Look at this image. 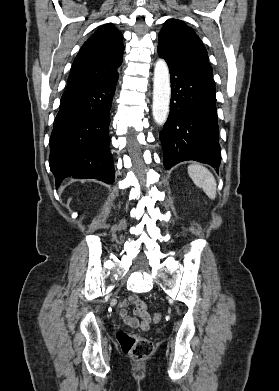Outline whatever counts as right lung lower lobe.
Masks as SVG:
<instances>
[{
	"mask_svg": "<svg viewBox=\"0 0 279 391\" xmlns=\"http://www.w3.org/2000/svg\"><path fill=\"white\" fill-rule=\"evenodd\" d=\"M119 74L84 88L66 91L50 137V169L56 188L67 177L114 182L109 150L110 108Z\"/></svg>",
	"mask_w": 279,
	"mask_h": 391,
	"instance_id": "1",
	"label": "right lung lower lobe"
}]
</instances>
